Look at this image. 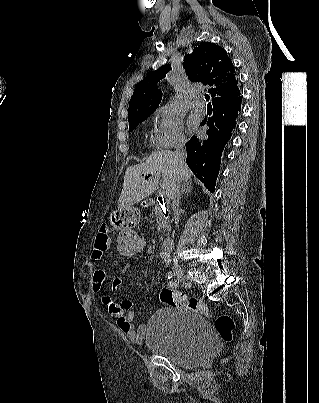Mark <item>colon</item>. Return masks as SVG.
I'll use <instances>...</instances> for the list:
<instances>
[{
  "instance_id": "obj_1",
  "label": "colon",
  "mask_w": 319,
  "mask_h": 403,
  "mask_svg": "<svg viewBox=\"0 0 319 403\" xmlns=\"http://www.w3.org/2000/svg\"><path fill=\"white\" fill-rule=\"evenodd\" d=\"M115 252L120 260H138L139 254H146V240L144 234H135L126 230L125 234L115 235ZM163 304L171 307L187 309L211 316V311L198 299H188L183 293L172 288H165L160 293ZM214 326L219 336L225 341L233 339L234 320L228 314H220L215 317Z\"/></svg>"
}]
</instances>
